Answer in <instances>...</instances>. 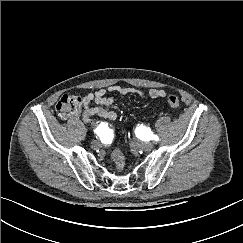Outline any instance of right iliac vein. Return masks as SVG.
I'll list each match as a JSON object with an SVG mask.
<instances>
[{
  "mask_svg": "<svg viewBox=\"0 0 243 243\" xmlns=\"http://www.w3.org/2000/svg\"><path fill=\"white\" fill-rule=\"evenodd\" d=\"M101 146L100 142L97 141V140H94L92 143H91V147L96 149V148H99Z\"/></svg>",
  "mask_w": 243,
  "mask_h": 243,
  "instance_id": "1",
  "label": "right iliac vein"
}]
</instances>
